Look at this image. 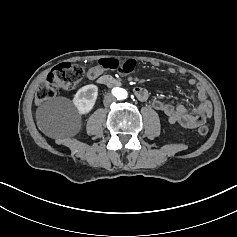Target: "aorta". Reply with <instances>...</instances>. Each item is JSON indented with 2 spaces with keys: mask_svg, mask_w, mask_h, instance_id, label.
Here are the masks:
<instances>
[{
  "mask_svg": "<svg viewBox=\"0 0 237 237\" xmlns=\"http://www.w3.org/2000/svg\"><path fill=\"white\" fill-rule=\"evenodd\" d=\"M122 91L126 93V96L124 97V98H126V97H127V91H126V90H124V89H122Z\"/></svg>",
  "mask_w": 237,
  "mask_h": 237,
  "instance_id": "aorta-1",
  "label": "aorta"
}]
</instances>
